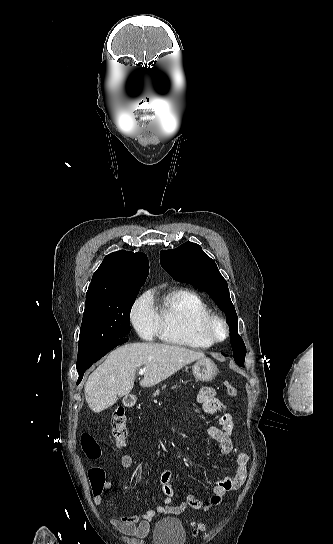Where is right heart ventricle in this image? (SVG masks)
<instances>
[{
  "instance_id": "obj_1",
  "label": "right heart ventricle",
  "mask_w": 333,
  "mask_h": 544,
  "mask_svg": "<svg viewBox=\"0 0 333 544\" xmlns=\"http://www.w3.org/2000/svg\"><path fill=\"white\" fill-rule=\"evenodd\" d=\"M211 312L209 304L197 292L186 288L169 291L157 312L160 338L166 343L189 348L211 347L201 334L202 320Z\"/></svg>"
}]
</instances>
